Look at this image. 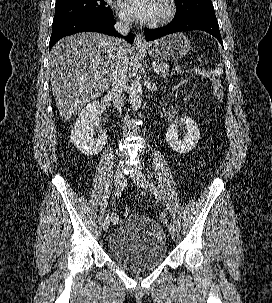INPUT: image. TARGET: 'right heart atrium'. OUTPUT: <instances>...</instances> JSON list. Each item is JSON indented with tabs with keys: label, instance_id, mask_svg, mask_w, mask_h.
<instances>
[{
	"label": "right heart atrium",
	"instance_id": "obj_1",
	"mask_svg": "<svg viewBox=\"0 0 272 303\" xmlns=\"http://www.w3.org/2000/svg\"><path fill=\"white\" fill-rule=\"evenodd\" d=\"M122 19H123V20H125V21H127V18H126V17H124V16H122Z\"/></svg>",
	"mask_w": 272,
	"mask_h": 303
}]
</instances>
